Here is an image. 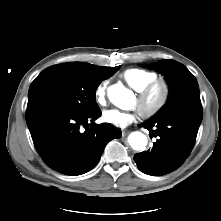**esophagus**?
I'll list each match as a JSON object with an SVG mask.
<instances>
[{"label": "esophagus", "instance_id": "obj_1", "mask_svg": "<svg viewBox=\"0 0 221 221\" xmlns=\"http://www.w3.org/2000/svg\"><path fill=\"white\" fill-rule=\"evenodd\" d=\"M128 133H129V131L123 130V131H122V136L125 137L126 135H128Z\"/></svg>", "mask_w": 221, "mask_h": 221}]
</instances>
